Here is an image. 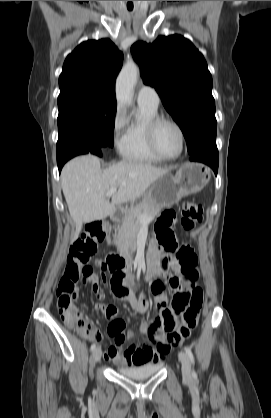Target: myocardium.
Wrapping results in <instances>:
<instances>
[{
  "label": "myocardium",
  "mask_w": 271,
  "mask_h": 418,
  "mask_svg": "<svg viewBox=\"0 0 271 418\" xmlns=\"http://www.w3.org/2000/svg\"><path fill=\"white\" fill-rule=\"evenodd\" d=\"M162 124L172 125L177 130V132L179 133L181 146H180L179 152L175 156L165 155L160 150V148L157 144V132H158L159 127ZM147 140H148V144H149L151 150L153 151V153L155 155H157L159 158H161L162 160H165V161H172V160L178 159L183 154L184 149H185V143H186L185 133H184L182 127L175 120H173L171 118H168V117H165V116H156L154 119H152L148 123V125H147Z\"/></svg>",
  "instance_id": "f54148a6"
}]
</instances>
